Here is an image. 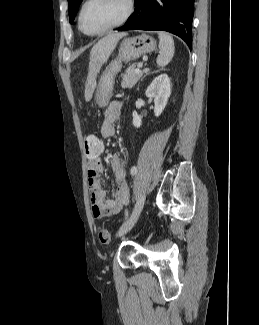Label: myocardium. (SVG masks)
Masks as SVG:
<instances>
[{
  "label": "myocardium",
  "mask_w": 259,
  "mask_h": 325,
  "mask_svg": "<svg viewBox=\"0 0 259 325\" xmlns=\"http://www.w3.org/2000/svg\"><path fill=\"white\" fill-rule=\"evenodd\" d=\"M91 0H85L80 9H79V13H78V27L80 29V31L88 36H99V35H102L104 33H107L121 25H123L124 23H126L129 18L132 16L133 12H134V0H126V5H127V8H126V12L125 14L123 15V17L117 21L116 23H114L113 25L101 30V31H98V32H88L84 29L83 27V24H82V15H83V11L85 9V7L87 6V4L90 2Z\"/></svg>",
  "instance_id": "f54148a6"
}]
</instances>
